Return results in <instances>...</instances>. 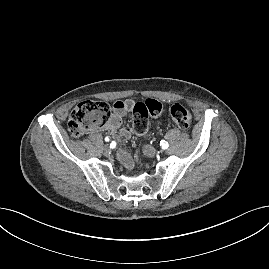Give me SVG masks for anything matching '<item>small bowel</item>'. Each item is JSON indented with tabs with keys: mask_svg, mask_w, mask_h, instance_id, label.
Listing matches in <instances>:
<instances>
[{
	"mask_svg": "<svg viewBox=\"0 0 269 269\" xmlns=\"http://www.w3.org/2000/svg\"><path fill=\"white\" fill-rule=\"evenodd\" d=\"M133 107L134 101L131 99L116 101L113 104V114L107 121L104 129L113 135H116L117 132H119L123 139H130L131 133L123 126V120L125 114L131 111ZM117 156L119 161L127 170H131L133 168V160L127 151L120 149L117 153Z\"/></svg>",
	"mask_w": 269,
	"mask_h": 269,
	"instance_id": "1",
	"label": "small bowel"
}]
</instances>
